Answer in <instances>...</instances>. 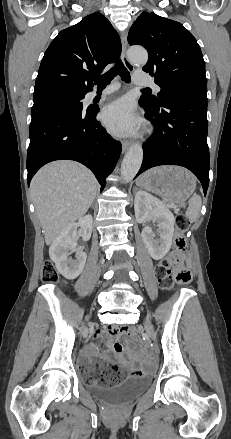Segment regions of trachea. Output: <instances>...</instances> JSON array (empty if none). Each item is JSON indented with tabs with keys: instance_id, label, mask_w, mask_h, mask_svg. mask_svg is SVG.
Wrapping results in <instances>:
<instances>
[{
	"instance_id": "obj_1",
	"label": "trachea",
	"mask_w": 231,
	"mask_h": 439,
	"mask_svg": "<svg viewBox=\"0 0 231 439\" xmlns=\"http://www.w3.org/2000/svg\"><path fill=\"white\" fill-rule=\"evenodd\" d=\"M117 73L119 74V76L121 77V79L124 82L130 83V81H131L130 73L124 67V65L121 61H118L115 65V67L111 68L107 73H105L101 76H98V77H94L93 80H94L95 84L98 85V87H105L113 80V78L117 75ZM144 90L150 91L151 89L145 88Z\"/></svg>"
}]
</instances>
